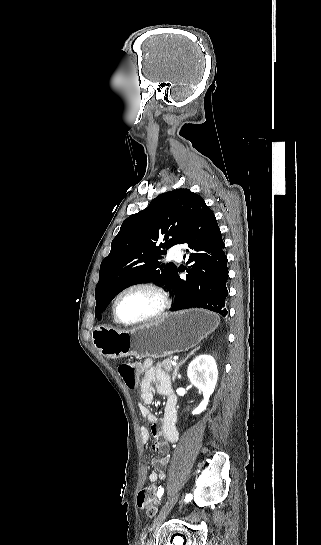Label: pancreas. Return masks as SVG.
Here are the masks:
<instances>
[{
	"label": "pancreas",
	"instance_id": "obj_1",
	"mask_svg": "<svg viewBox=\"0 0 321 545\" xmlns=\"http://www.w3.org/2000/svg\"><path fill=\"white\" fill-rule=\"evenodd\" d=\"M157 367H163L165 371H171L172 373L174 365H172V359H163L162 363H157Z\"/></svg>",
	"mask_w": 321,
	"mask_h": 545
}]
</instances>
